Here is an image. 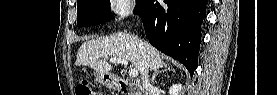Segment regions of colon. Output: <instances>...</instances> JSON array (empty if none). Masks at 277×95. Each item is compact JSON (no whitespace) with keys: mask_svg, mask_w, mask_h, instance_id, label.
I'll return each mask as SVG.
<instances>
[{"mask_svg":"<svg viewBox=\"0 0 277 95\" xmlns=\"http://www.w3.org/2000/svg\"><path fill=\"white\" fill-rule=\"evenodd\" d=\"M77 95H93L98 94L97 91L88 81L81 82L76 88Z\"/></svg>","mask_w":277,"mask_h":95,"instance_id":"5ec220e1","label":"colon"}]
</instances>
